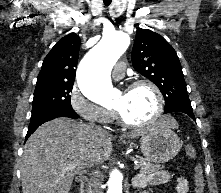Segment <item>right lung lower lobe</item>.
Here are the masks:
<instances>
[{"label": "right lung lower lobe", "mask_w": 221, "mask_h": 193, "mask_svg": "<svg viewBox=\"0 0 221 193\" xmlns=\"http://www.w3.org/2000/svg\"><path fill=\"white\" fill-rule=\"evenodd\" d=\"M57 117H69L73 119L79 118V115L74 110L66 109H50L37 114L31 115L26 140L29 136L43 123L55 119Z\"/></svg>", "instance_id": "right-lung-lower-lobe-1"}]
</instances>
